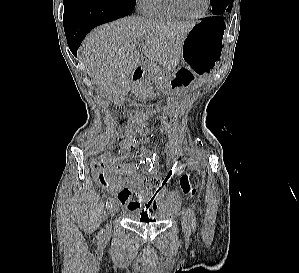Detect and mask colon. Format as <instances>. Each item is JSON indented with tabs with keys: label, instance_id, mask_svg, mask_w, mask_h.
Returning <instances> with one entry per match:
<instances>
[{
	"label": "colon",
	"instance_id": "obj_1",
	"mask_svg": "<svg viewBox=\"0 0 299 273\" xmlns=\"http://www.w3.org/2000/svg\"><path fill=\"white\" fill-rule=\"evenodd\" d=\"M123 142V138L120 139V143ZM95 176L98 180H106L108 177V169L106 165L100 161H95L93 165ZM180 189L186 195H192L195 193V187L192 183L191 176L185 174L180 179Z\"/></svg>",
	"mask_w": 299,
	"mask_h": 273
}]
</instances>
